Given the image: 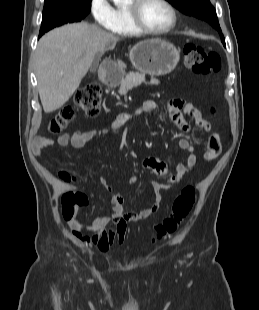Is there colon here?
<instances>
[{
  "mask_svg": "<svg viewBox=\"0 0 259 310\" xmlns=\"http://www.w3.org/2000/svg\"><path fill=\"white\" fill-rule=\"evenodd\" d=\"M181 51L185 66L194 73L211 75L220 70L218 55L200 45L188 43L182 46ZM101 100L100 87L97 84H88L76 92L75 108L88 117H96L100 111ZM211 113H216L215 107H211ZM70 115L71 111L67 110L62 116L53 119L50 130L53 133L59 132ZM62 176L69 181L73 179L66 172L62 173ZM195 200V188L191 185L185 187L173 202L171 216L155 227L153 238L160 239L174 233L191 211ZM87 201L88 198L83 192L68 191L64 193L61 198V214L64 221L68 224L73 223L78 209L83 207Z\"/></svg>",
  "mask_w": 259,
  "mask_h": 310,
  "instance_id": "1",
  "label": "colon"
}]
</instances>
